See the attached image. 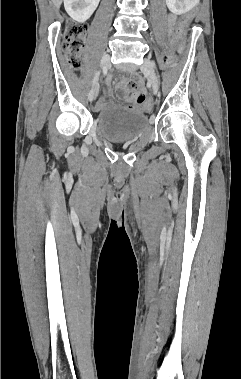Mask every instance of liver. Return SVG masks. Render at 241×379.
<instances>
[{
  "label": "liver",
  "instance_id": "6515ba94",
  "mask_svg": "<svg viewBox=\"0 0 241 379\" xmlns=\"http://www.w3.org/2000/svg\"><path fill=\"white\" fill-rule=\"evenodd\" d=\"M61 2H62V0H53V3H54L57 7L60 6Z\"/></svg>",
  "mask_w": 241,
  "mask_h": 379
}]
</instances>
